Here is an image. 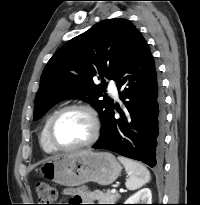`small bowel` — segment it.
<instances>
[{"instance_id": "1", "label": "small bowel", "mask_w": 200, "mask_h": 205, "mask_svg": "<svg viewBox=\"0 0 200 205\" xmlns=\"http://www.w3.org/2000/svg\"><path fill=\"white\" fill-rule=\"evenodd\" d=\"M64 194L72 196L75 201H81L82 199L81 192L76 189H65Z\"/></svg>"}]
</instances>
